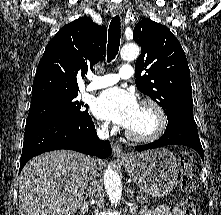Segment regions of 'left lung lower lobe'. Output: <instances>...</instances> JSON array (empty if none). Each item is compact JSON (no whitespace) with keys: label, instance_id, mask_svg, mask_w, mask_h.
Wrapping results in <instances>:
<instances>
[{"label":"left lung lower lobe","instance_id":"1","mask_svg":"<svg viewBox=\"0 0 221 215\" xmlns=\"http://www.w3.org/2000/svg\"><path fill=\"white\" fill-rule=\"evenodd\" d=\"M166 145H185L195 149L204 161V151L200 143L197 125L194 120L170 121L165 133L157 141L146 145L135 146V151L155 149Z\"/></svg>","mask_w":221,"mask_h":215}]
</instances>
